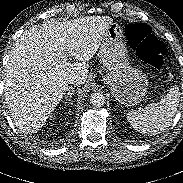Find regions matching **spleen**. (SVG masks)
<instances>
[{"label": "spleen", "instance_id": "1", "mask_svg": "<svg viewBox=\"0 0 183 183\" xmlns=\"http://www.w3.org/2000/svg\"><path fill=\"white\" fill-rule=\"evenodd\" d=\"M180 91L175 85L158 103H150L142 110L127 113V120L138 132L157 135L165 131L173 120L179 105Z\"/></svg>", "mask_w": 183, "mask_h": 183}]
</instances>
